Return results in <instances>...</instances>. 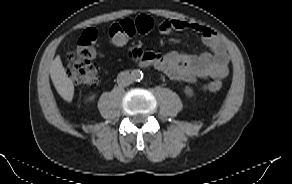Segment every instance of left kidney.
<instances>
[{
	"mask_svg": "<svg viewBox=\"0 0 292 184\" xmlns=\"http://www.w3.org/2000/svg\"><path fill=\"white\" fill-rule=\"evenodd\" d=\"M184 92L187 96H190V97H192L194 95L193 89L190 87H186Z\"/></svg>",
	"mask_w": 292,
	"mask_h": 184,
	"instance_id": "obj_1",
	"label": "left kidney"
}]
</instances>
